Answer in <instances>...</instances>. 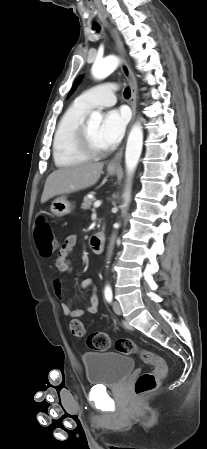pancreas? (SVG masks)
Instances as JSON below:
<instances>
[{
    "mask_svg": "<svg viewBox=\"0 0 207 449\" xmlns=\"http://www.w3.org/2000/svg\"><path fill=\"white\" fill-rule=\"evenodd\" d=\"M93 201H94V199H90L88 197H85L84 200H83V203L81 205V208L82 209H90L91 206H92Z\"/></svg>",
    "mask_w": 207,
    "mask_h": 449,
    "instance_id": "1",
    "label": "pancreas"
}]
</instances>
